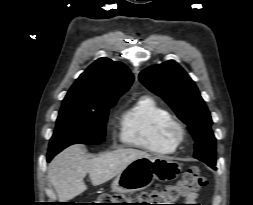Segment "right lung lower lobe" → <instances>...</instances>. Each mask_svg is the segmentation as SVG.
Masks as SVG:
<instances>
[{
  "label": "right lung lower lobe",
  "mask_w": 253,
  "mask_h": 205,
  "mask_svg": "<svg viewBox=\"0 0 253 205\" xmlns=\"http://www.w3.org/2000/svg\"><path fill=\"white\" fill-rule=\"evenodd\" d=\"M55 155L56 154H54V153H52V154L48 153V155H47V161H50L53 158V156H55Z\"/></svg>",
  "instance_id": "98d812e1"
}]
</instances>
